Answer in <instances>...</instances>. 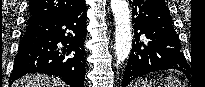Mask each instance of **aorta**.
<instances>
[{"label": "aorta", "mask_w": 205, "mask_h": 87, "mask_svg": "<svg viewBox=\"0 0 205 87\" xmlns=\"http://www.w3.org/2000/svg\"><path fill=\"white\" fill-rule=\"evenodd\" d=\"M110 6L115 19V55L117 63H122L132 47L130 11L126 0H110Z\"/></svg>", "instance_id": "obj_1"}]
</instances>
